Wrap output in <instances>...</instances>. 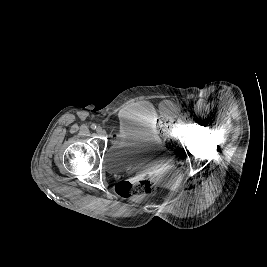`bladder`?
<instances>
[{
    "label": "bladder",
    "instance_id": "1",
    "mask_svg": "<svg viewBox=\"0 0 267 267\" xmlns=\"http://www.w3.org/2000/svg\"><path fill=\"white\" fill-rule=\"evenodd\" d=\"M159 141L155 131L123 122L122 134L106 152V169L119 173L139 168L154 157Z\"/></svg>",
    "mask_w": 267,
    "mask_h": 267
}]
</instances>
